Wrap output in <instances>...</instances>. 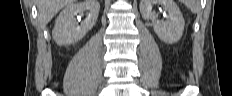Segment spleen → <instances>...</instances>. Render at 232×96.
I'll return each instance as SVG.
<instances>
[{
	"mask_svg": "<svg viewBox=\"0 0 232 96\" xmlns=\"http://www.w3.org/2000/svg\"><path fill=\"white\" fill-rule=\"evenodd\" d=\"M183 2L193 13H197L200 10L199 0H184Z\"/></svg>",
	"mask_w": 232,
	"mask_h": 96,
	"instance_id": "obj_1",
	"label": "spleen"
}]
</instances>
